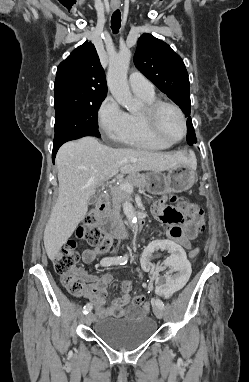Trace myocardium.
Wrapping results in <instances>:
<instances>
[{
	"label": "myocardium",
	"instance_id": "obj_1",
	"mask_svg": "<svg viewBox=\"0 0 249 382\" xmlns=\"http://www.w3.org/2000/svg\"><path fill=\"white\" fill-rule=\"evenodd\" d=\"M163 107H170L174 109L179 115L183 125V134L181 135L180 138L171 139L167 137L166 135H164L163 132L161 131L158 124V115L160 110ZM141 115L151 134L163 142H166L169 144H175L183 140L185 136L187 135L188 126H187L186 116L184 112L182 111V109L173 102L166 101V100H154L151 103L145 104L144 108L141 111Z\"/></svg>",
	"mask_w": 249,
	"mask_h": 382
}]
</instances>
